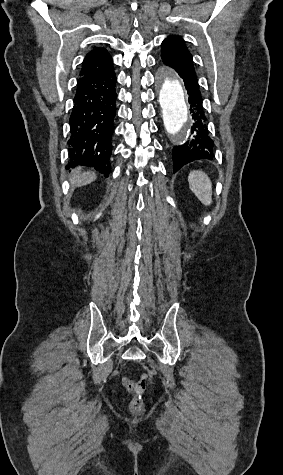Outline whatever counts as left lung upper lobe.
<instances>
[{"instance_id":"obj_1","label":"left lung upper lobe","mask_w":283,"mask_h":475,"mask_svg":"<svg viewBox=\"0 0 283 475\" xmlns=\"http://www.w3.org/2000/svg\"><path fill=\"white\" fill-rule=\"evenodd\" d=\"M162 54H164L168 60L193 62L192 55L180 36L171 35L166 38L162 42L161 57Z\"/></svg>"}]
</instances>
